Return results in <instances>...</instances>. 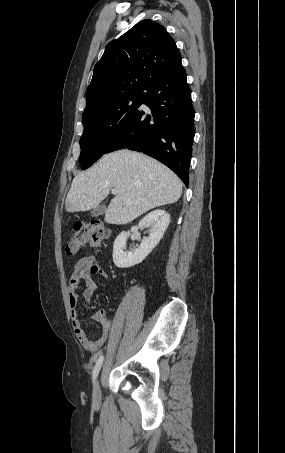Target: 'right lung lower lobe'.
<instances>
[{"mask_svg": "<svg viewBox=\"0 0 285 453\" xmlns=\"http://www.w3.org/2000/svg\"><path fill=\"white\" fill-rule=\"evenodd\" d=\"M141 104L149 107L151 115L139 108ZM140 105L106 153L123 148L143 152L168 166L188 186L194 109L182 64L152 79Z\"/></svg>", "mask_w": 285, "mask_h": 453, "instance_id": "obj_1", "label": "right lung lower lobe"}]
</instances>
